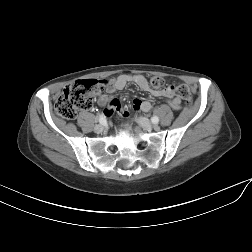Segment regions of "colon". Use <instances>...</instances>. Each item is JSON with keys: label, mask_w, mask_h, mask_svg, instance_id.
<instances>
[{"label": "colon", "mask_w": 252, "mask_h": 252, "mask_svg": "<svg viewBox=\"0 0 252 252\" xmlns=\"http://www.w3.org/2000/svg\"><path fill=\"white\" fill-rule=\"evenodd\" d=\"M150 86L161 89L165 86V81L161 77L154 76L150 79ZM103 87L104 82L97 79L79 80L68 85L56 101V113L66 119L75 118L79 110L91 104L92 96L99 93ZM175 91L187 106L192 105V95L187 86L179 85Z\"/></svg>", "instance_id": "obj_1"}]
</instances>
